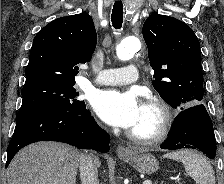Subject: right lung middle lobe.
<instances>
[{
    "mask_svg": "<svg viewBox=\"0 0 224 184\" xmlns=\"http://www.w3.org/2000/svg\"><path fill=\"white\" fill-rule=\"evenodd\" d=\"M75 83L54 81H35L27 83L22 89V105L17 113L16 122L27 115L44 111H76L85 106L84 101L76 99L79 95L73 87Z\"/></svg>",
    "mask_w": 224,
    "mask_h": 184,
    "instance_id": "right-lung-middle-lobe-1",
    "label": "right lung middle lobe"
}]
</instances>
